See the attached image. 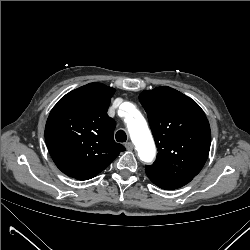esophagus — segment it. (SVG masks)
I'll return each mask as SVG.
<instances>
[{
    "label": "esophagus",
    "instance_id": "obj_1",
    "mask_svg": "<svg viewBox=\"0 0 250 250\" xmlns=\"http://www.w3.org/2000/svg\"><path fill=\"white\" fill-rule=\"evenodd\" d=\"M125 147L127 150H132L134 145L132 142H127V143H125Z\"/></svg>",
    "mask_w": 250,
    "mask_h": 250
}]
</instances>
